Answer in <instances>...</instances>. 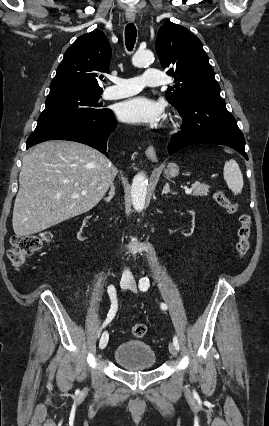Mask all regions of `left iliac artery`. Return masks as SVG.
I'll use <instances>...</instances> for the list:
<instances>
[{"mask_svg": "<svg viewBox=\"0 0 269 426\" xmlns=\"http://www.w3.org/2000/svg\"><path fill=\"white\" fill-rule=\"evenodd\" d=\"M149 286H150V283H149V279L147 277L141 278L139 280V289L141 291L148 290ZM160 307L163 310L167 309V305L164 304V303H161ZM173 343H174V346L176 347V349L179 350V343H178V339H177L176 336H174V338H173Z\"/></svg>", "mask_w": 269, "mask_h": 426, "instance_id": "obj_1", "label": "left iliac artery"}]
</instances>
